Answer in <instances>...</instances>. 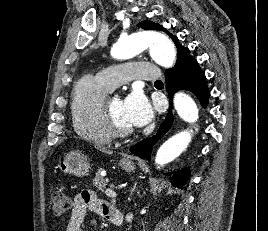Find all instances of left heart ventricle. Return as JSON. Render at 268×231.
Here are the masks:
<instances>
[{
    "label": "left heart ventricle",
    "instance_id": "left-heart-ventricle-1",
    "mask_svg": "<svg viewBox=\"0 0 268 231\" xmlns=\"http://www.w3.org/2000/svg\"><path fill=\"white\" fill-rule=\"evenodd\" d=\"M111 108L115 119L117 120L118 124L127 129H131L134 126L129 122L125 108H124V101L121 98L115 97L110 100Z\"/></svg>",
    "mask_w": 268,
    "mask_h": 231
}]
</instances>
